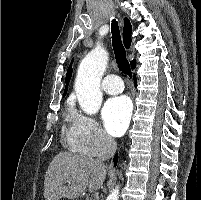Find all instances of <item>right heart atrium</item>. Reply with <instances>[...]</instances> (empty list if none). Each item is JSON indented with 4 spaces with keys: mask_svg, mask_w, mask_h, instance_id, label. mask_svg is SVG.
Here are the masks:
<instances>
[{
    "mask_svg": "<svg viewBox=\"0 0 201 200\" xmlns=\"http://www.w3.org/2000/svg\"><path fill=\"white\" fill-rule=\"evenodd\" d=\"M72 139L76 147L90 156H99L111 151L114 141L110 138L98 122L80 112L72 115Z\"/></svg>",
    "mask_w": 201,
    "mask_h": 200,
    "instance_id": "1",
    "label": "right heart atrium"
}]
</instances>
